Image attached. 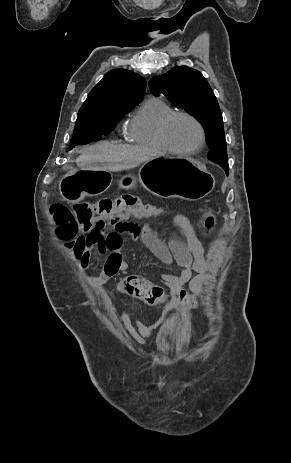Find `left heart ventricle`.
<instances>
[{"mask_svg": "<svg viewBox=\"0 0 291 463\" xmlns=\"http://www.w3.org/2000/svg\"><path fill=\"white\" fill-rule=\"evenodd\" d=\"M168 135L171 142L182 149L196 146L200 137L197 126L184 117H178L171 123Z\"/></svg>", "mask_w": 291, "mask_h": 463, "instance_id": "obj_1", "label": "left heart ventricle"}]
</instances>
